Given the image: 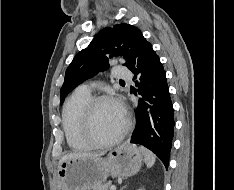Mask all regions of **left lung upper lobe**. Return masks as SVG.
<instances>
[{
  "mask_svg": "<svg viewBox=\"0 0 234 190\" xmlns=\"http://www.w3.org/2000/svg\"><path fill=\"white\" fill-rule=\"evenodd\" d=\"M145 42L141 31L126 23L102 29L87 48L76 54L67 68L60 91V103L76 86L107 69L108 56L123 55L127 61L124 65L130 68Z\"/></svg>",
  "mask_w": 234,
  "mask_h": 190,
  "instance_id": "obj_1",
  "label": "left lung upper lobe"
}]
</instances>
